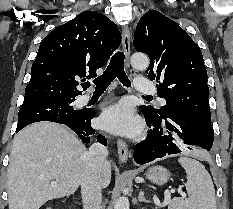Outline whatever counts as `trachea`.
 <instances>
[{"label": "trachea", "mask_w": 233, "mask_h": 209, "mask_svg": "<svg viewBox=\"0 0 233 209\" xmlns=\"http://www.w3.org/2000/svg\"><path fill=\"white\" fill-rule=\"evenodd\" d=\"M124 59L125 56L122 51H118L112 56L107 69L102 75L93 80L96 85L95 90H106L115 78H118L124 86L131 87L130 80L124 71ZM145 97L152 99L151 96Z\"/></svg>", "instance_id": "3493384b"}]
</instances>
